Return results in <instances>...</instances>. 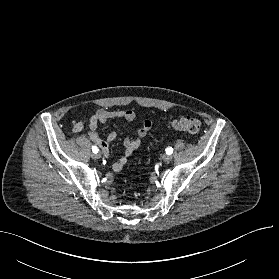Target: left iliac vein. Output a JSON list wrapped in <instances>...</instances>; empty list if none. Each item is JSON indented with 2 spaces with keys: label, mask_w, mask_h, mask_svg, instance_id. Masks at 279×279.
Listing matches in <instances>:
<instances>
[{
  "label": "left iliac vein",
  "mask_w": 279,
  "mask_h": 279,
  "mask_svg": "<svg viewBox=\"0 0 279 279\" xmlns=\"http://www.w3.org/2000/svg\"><path fill=\"white\" fill-rule=\"evenodd\" d=\"M162 159H163V161H165V162H170V161L172 160V156L169 155V154H164V155L162 156Z\"/></svg>",
  "instance_id": "1"
}]
</instances>
